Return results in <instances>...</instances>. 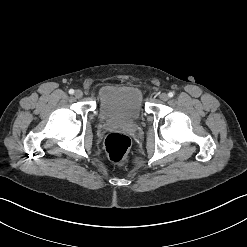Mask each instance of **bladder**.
<instances>
[{
    "mask_svg": "<svg viewBox=\"0 0 247 247\" xmlns=\"http://www.w3.org/2000/svg\"><path fill=\"white\" fill-rule=\"evenodd\" d=\"M98 109L103 120H137L144 110L142 92L128 85H106L99 91Z\"/></svg>",
    "mask_w": 247,
    "mask_h": 247,
    "instance_id": "31cf9c89",
    "label": "bladder"
}]
</instances>
